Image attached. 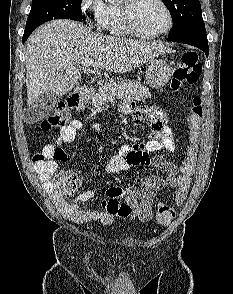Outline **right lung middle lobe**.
I'll use <instances>...</instances> for the list:
<instances>
[{
  "label": "right lung middle lobe",
  "instance_id": "obj_1",
  "mask_svg": "<svg viewBox=\"0 0 233 294\" xmlns=\"http://www.w3.org/2000/svg\"><path fill=\"white\" fill-rule=\"evenodd\" d=\"M81 2L82 0H32L25 31H33L53 19L82 21Z\"/></svg>",
  "mask_w": 233,
  "mask_h": 294
}]
</instances>
